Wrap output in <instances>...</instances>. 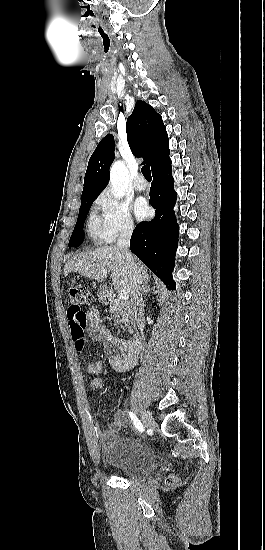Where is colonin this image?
Segmentation results:
<instances>
[{"instance_id": "1", "label": "colon", "mask_w": 265, "mask_h": 550, "mask_svg": "<svg viewBox=\"0 0 265 550\" xmlns=\"http://www.w3.org/2000/svg\"><path fill=\"white\" fill-rule=\"evenodd\" d=\"M68 297L70 303L68 317L70 319L72 335L74 339H76L82 336L83 327L86 322V314L83 307L91 303L93 296L87 285L83 283H73L68 287ZM110 430L112 432H117L119 430V424H111ZM174 483V478L168 480L169 485H173Z\"/></svg>"}]
</instances>
